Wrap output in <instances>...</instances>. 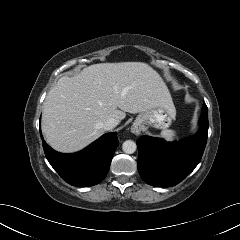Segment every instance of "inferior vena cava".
<instances>
[{"instance_id": "1", "label": "inferior vena cava", "mask_w": 240, "mask_h": 240, "mask_svg": "<svg viewBox=\"0 0 240 240\" xmlns=\"http://www.w3.org/2000/svg\"><path fill=\"white\" fill-rule=\"evenodd\" d=\"M118 125V121L115 118H109L103 123V129L106 131L112 130Z\"/></svg>"}]
</instances>
